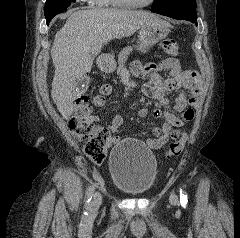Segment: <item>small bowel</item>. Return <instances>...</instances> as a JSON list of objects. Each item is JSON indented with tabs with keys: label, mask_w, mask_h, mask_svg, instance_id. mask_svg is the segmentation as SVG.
Returning a JSON list of instances; mask_svg holds the SVG:
<instances>
[{
	"label": "small bowel",
	"mask_w": 240,
	"mask_h": 238,
	"mask_svg": "<svg viewBox=\"0 0 240 238\" xmlns=\"http://www.w3.org/2000/svg\"><path fill=\"white\" fill-rule=\"evenodd\" d=\"M169 72V77L164 79L159 75V72ZM132 72L137 75L144 73L150 76V83L143 88V92L150 97L157 100L161 105H170L169 100L166 98V93L178 89L183 91L177 96L175 101L171 104L176 112H180L181 117L175 114L155 109L153 116L155 118H164V122L159 127H153L152 131L155 135L153 139H147L146 144L153 150H162L170 138L174 135H179L178 130H173V127L181 128L186 122L194 117V106L197 103V97L201 89V81L199 74L195 70L182 71L179 62L176 59L169 58L159 64H149L142 66L139 62L132 64ZM112 93V86L104 84L100 87L99 92L93 98V104L96 107H102L106 103V98ZM140 117H146L148 109L141 108L138 112ZM100 120L97 115H90L88 122L93 124ZM123 119L120 115H116L107 127L108 145L115 144L119 141L116 135L118 128L121 126Z\"/></svg>",
	"instance_id": "1"
}]
</instances>
